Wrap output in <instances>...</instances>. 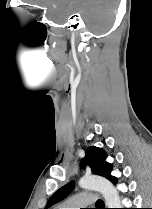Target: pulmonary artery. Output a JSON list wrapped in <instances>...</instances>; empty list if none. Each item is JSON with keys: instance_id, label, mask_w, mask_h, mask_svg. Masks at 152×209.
Wrapping results in <instances>:
<instances>
[{"instance_id": "obj_1", "label": "pulmonary artery", "mask_w": 152, "mask_h": 209, "mask_svg": "<svg viewBox=\"0 0 152 209\" xmlns=\"http://www.w3.org/2000/svg\"><path fill=\"white\" fill-rule=\"evenodd\" d=\"M95 201V194L82 192L65 201L62 205V209H82L93 204Z\"/></svg>"}]
</instances>
